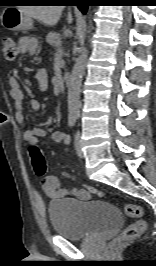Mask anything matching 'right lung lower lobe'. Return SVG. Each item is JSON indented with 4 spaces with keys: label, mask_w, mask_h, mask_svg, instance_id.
Returning <instances> with one entry per match:
<instances>
[{
    "label": "right lung lower lobe",
    "mask_w": 156,
    "mask_h": 266,
    "mask_svg": "<svg viewBox=\"0 0 156 266\" xmlns=\"http://www.w3.org/2000/svg\"><path fill=\"white\" fill-rule=\"evenodd\" d=\"M71 1H72L71 3H74L71 5L78 6V8L83 14L86 13L88 6L92 2L91 0H71Z\"/></svg>",
    "instance_id": "obj_1"
}]
</instances>
